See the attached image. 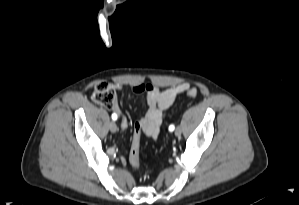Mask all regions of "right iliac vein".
Listing matches in <instances>:
<instances>
[{"label":"right iliac vein","mask_w":299,"mask_h":205,"mask_svg":"<svg viewBox=\"0 0 299 205\" xmlns=\"http://www.w3.org/2000/svg\"><path fill=\"white\" fill-rule=\"evenodd\" d=\"M109 128L112 133H116L118 129L117 124L114 121L110 122Z\"/></svg>","instance_id":"1"}]
</instances>
